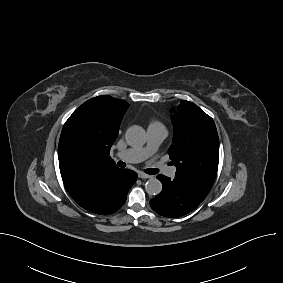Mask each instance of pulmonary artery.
Instances as JSON below:
<instances>
[{"label":"pulmonary artery","instance_id":"obj_1","mask_svg":"<svg viewBox=\"0 0 283 283\" xmlns=\"http://www.w3.org/2000/svg\"><path fill=\"white\" fill-rule=\"evenodd\" d=\"M148 142L143 148H129L116 153V157L130 163L141 162L152 155L167 136V130L162 125H151L147 129ZM166 175L174 177L176 168H164Z\"/></svg>","mask_w":283,"mask_h":283}]
</instances>
